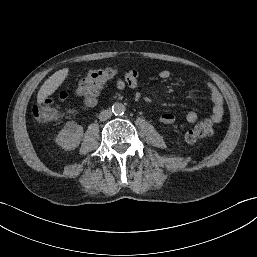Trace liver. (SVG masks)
<instances>
[{"instance_id":"1","label":"liver","mask_w":257,"mask_h":257,"mask_svg":"<svg viewBox=\"0 0 257 257\" xmlns=\"http://www.w3.org/2000/svg\"><path fill=\"white\" fill-rule=\"evenodd\" d=\"M69 73L68 68H64L56 71L52 76H50L41 86L37 94V103L41 104L44 100L53 94L59 86L64 82Z\"/></svg>"}]
</instances>
